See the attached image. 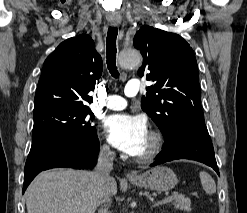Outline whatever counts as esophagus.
<instances>
[{
  "label": "esophagus",
  "mask_w": 247,
  "mask_h": 213,
  "mask_svg": "<svg viewBox=\"0 0 247 213\" xmlns=\"http://www.w3.org/2000/svg\"><path fill=\"white\" fill-rule=\"evenodd\" d=\"M111 25L116 27V26H118V23L117 22H112ZM126 177L127 178H135V177H137V175L134 172H128L126 174Z\"/></svg>",
  "instance_id": "obj_1"
}]
</instances>
